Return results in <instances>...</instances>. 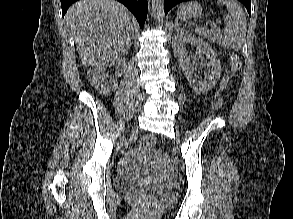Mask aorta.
I'll return each mask as SVG.
<instances>
[{"instance_id": "aorta-1", "label": "aorta", "mask_w": 293, "mask_h": 219, "mask_svg": "<svg viewBox=\"0 0 293 219\" xmlns=\"http://www.w3.org/2000/svg\"><path fill=\"white\" fill-rule=\"evenodd\" d=\"M152 12L157 19L163 17L164 10L162 0H152Z\"/></svg>"}]
</instances>
